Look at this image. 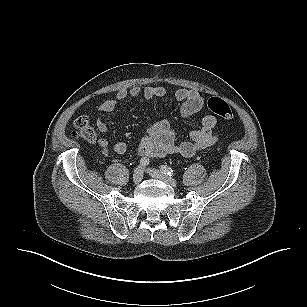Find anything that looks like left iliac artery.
I'll return each instance as SVG.
<instances>
[{"label": "left iliac artery", "mask_w": 307, "mask_h": 307, "mask_svg": "<svg viewBox=\"0 0 307 307\" xmlns=\"http://www.w3.org/2000/svg\"><path fill=\"white\" fill-rule=\"evenodd\" d=\"M160 169L164 174H167L168 176L174 175V171L166 165H162Z\"/></svg>", "instance_id": "1"}]
</instances>
